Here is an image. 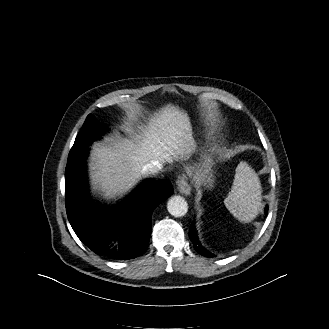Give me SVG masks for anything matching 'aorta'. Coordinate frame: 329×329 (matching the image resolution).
I'll return each mask as SVG.
<instances>
[{"label": "aorta", "instance_id": "obj_1", "mask_svg": "<svg viewBox=\"0 0 329 329\" xmlns=\"http://www.w3.org/2000/svg\"><path fill=\"white\" fill-rule=\"evenodd\" d=\"M167 210L174 217L186 215L188 204L181 196H172L167 202Z\"/></svg>", "mask_w": 329, "mask_h": 329}]
</instances>
